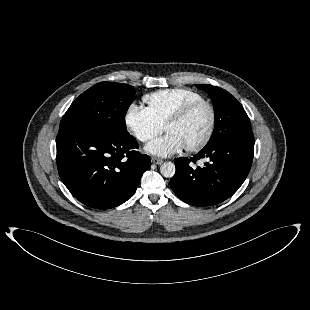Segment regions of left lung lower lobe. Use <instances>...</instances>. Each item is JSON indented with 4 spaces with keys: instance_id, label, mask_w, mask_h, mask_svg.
Listing matches in <instances>:
<instances>
[{
    "instance_id": "0a47b994",
    "label": "left lung lower lobe",
    "mask_w": 310,
    "mask_h": 310,
    "mask_svg": "<svg viewBox=\"0 0 310 310\" xmlns=\"http://www.w3.org/2000/svg\"><path fill=\"white\" fill-rule=\"evenodd\" d=\"M253 151L252 131L204 147L192 158L174 161L176 172L170 180V186L188 204H218L231 197L246 179L252 165ZM203 158H209L210 161L204 167H193L192 162Z\"/></svg>"
}]
</instances>
